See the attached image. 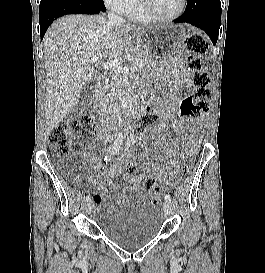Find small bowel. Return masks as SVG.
Returning <instances> with one entry per match:
<instances>
[{
  "instance_id": "1",
  "label": "small bowel",
  "mask_w": 265,
  "mask_h": 273,
  "mask_svg": "<svg viewBox=\"0 0 265 273\" xmlns=\"http://www.w3.org/2000/svg\"><path fill=\"white\" fill-rule=\"evenodd\" d=\"M176 63L179 67L180 65V61L179 59H176ZM189 76L187 73H185L184 71H182L180 68H178L177 71V78L175 80V84L177 87L182 88V89H186L189 88ZM177 97L175 95H171L168 97H165L161 104L159 105V108L157 111L154 110H150L148 112H155L157 115L159 114L161 116V120L159 121V123L153 128L152 133L153 134H157V135H162L166 132L167 130V126H168V122L171 118V110L174 109L175 106V101H176ZM147 112V113H148ZM178 127V126H177ZM166 152L171 155L174 156V150L172 148H166ZM81 154L90 162V164L94 167V168H99L101 165V162L99 159H97L96 157L92 156L91 154H89L88 152H86L85 150H83L81 152ZM122 172V167L119 164H113L111 165V167L109 168V177L110 178H116L118 177ZM142 182H143V174H134L132 176V191L135 194V196L140 199V200H144L145 199V195L143 194L142 191ZM103 184L108 183V179H104L102 181ZM101 196L99 194H96L93 196V204L95 206L96 209L99 208L100 204H101ZM128 201V199L124 196L119 197L118 203L121 205L126 204ZM113 209V207H110L109 210L111 211Z\"/></svg>"
}]
</instances>
